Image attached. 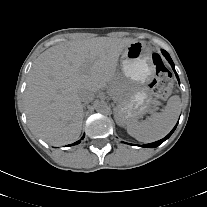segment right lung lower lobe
<instances>
[{
	"instance_id": "1",
	"label": "right lung lower lobe",
	"mask_w": 207,
	"mask_h": 207,
	"mask_svg": "<svg viewBox=\"0 0 207 207\" xmlns=\"http://www.w3.org/2000/svg\"><path fill=\"white\" fill-rule=\"evenodd\" d=\"M83 138H84V136L82 137V139H83ZM80 142H81V140L75 142L73 145H77V144H79Z\"/></svg>"
}]
</instances>
